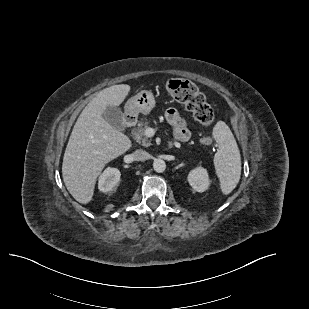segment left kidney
I'll return each mask as SVG.
<instances>
[{
  "label": "left kidney",
  "mask_w": 309,
  "mask_h": 309,
  "mask_svg": "<svg viewBox=\"0 0 309 309\" xmlns=\"http://www.w3.org/2000/svg\"><path fill=\"white\" fill-rule=\"evenodd\" d=\"M188 182L195 191L204 192L210 184L207 170L203 167L193 169L188 175Z\"/></svg>",
  "instance_id": "5707ae66"
}]
</instances>
